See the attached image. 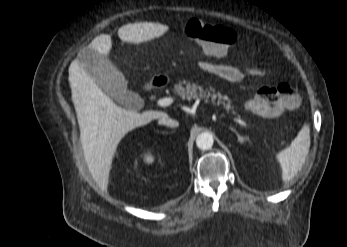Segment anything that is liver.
I'll list each match as a JSON object with an SVG mask.
<instances>
[{
	"mask_svg": "<svg viewBox=\"0 0 347 247\" xmlns=\"http://www.w3.org/2000/svg\"><path fill=\"white\" fill-rule=\"evenodd\" d=\"M166 30L167 27L159 23L127 24L119 28L118 36L122 41L138 44L159 37ZM111 48V35L102 34L82 50L92 49L106 58ZM68 79L88 168L96 182L106 189L113 157L121 139L133 129L159 119L165 113H138L117 106L88 75L78 59L70 64Z\"/></svg>",
	"mask_w": 347,
	"mask_h": 247,
	"instance_id": "obj_1",
	"label": "liver"
}]
</instances>
